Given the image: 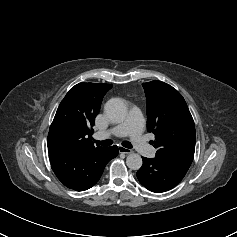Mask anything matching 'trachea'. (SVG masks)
<instances>
[{
    "instance_id": "1",
    "label": "trachea",
    "mask_w": 237,
    "mask_h": 237,
    "mask_svg": "<svg viewBox=\"0 0 237 237\" xmlns=\"http://www.w3.org/2000/svg\"><path fill=\"white\" fill-rule=\"evenodd\" d=\"M97 144H100L104 147L110 146L112 145L113 141L110 139L107 140H103V141H95ZM122 146L126 147V148H132V144L128 141H123L122 142Z\"/></svg>"
}]
</instances>
